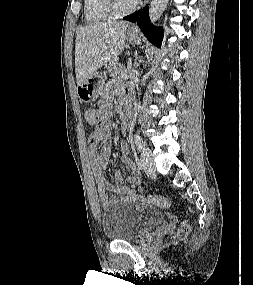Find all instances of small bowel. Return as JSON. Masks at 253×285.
Wrapping results in <instances>:
<instances>
[{
	"label": "small bowel",
	"instance_id": "1",
	"mask_svg": "<svg viewBox=\"0 0 253 285\" xmlns=\"http://www.w3.org/2000/svg\"><path fill=\"white\" fill-rule=\"evenodd\" d=\"M126 93L127 89L121 83L111 82L105 85L101 91V99L96 110L98 117L97 128L89 136V158L101 204L104 209L119 202L134 200L136 198L134 187L140 182L138 169L132 164L130 165L132 175L127 178V182L124 181L121 172L116 173V182L114 184L109 183L103 175L111 156L108 142L110 138L109 119L112 114L113 100L116 96L121 97L122 100L128 99ZM100 142H103L104 146L101 151H98ZM128 152V145L122 143L121 154L123 162H127ZM108 192H112L114 196H110Z\"/></svg>",
	"mask_w": 253,
	"mask_h": 285
}]
</instances>
